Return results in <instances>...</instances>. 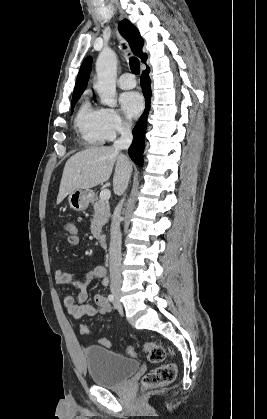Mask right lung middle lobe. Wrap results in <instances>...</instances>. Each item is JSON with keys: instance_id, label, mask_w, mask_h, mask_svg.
I'll use <instances>...</instances> for the list:
<instances>
[{"instance_id": "dd1d6c3e", "label": "right lung middle lobe", "mask_w": 267, "mask_h": 419, "mask_svg": "<svg viewBox=\"0 0 267 419\" xmlns=\"http://www.w3.org/2000/svg\"><path fill=\"white\" fill-rule=\"evenodd\" d=\"M79 98H80V95L74 96L72 98V107H71L72 112H73L74 106H75V104H76V102L78 101Z\"/></svg>"}]
</instances>
